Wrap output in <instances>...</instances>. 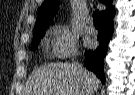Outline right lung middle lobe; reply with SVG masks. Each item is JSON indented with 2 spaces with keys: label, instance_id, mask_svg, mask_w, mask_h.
Instances as JSON below:
<instances>
[{
  "label": "right lung middle lobe",
  "instance_id": "1",
  "mask_svg": "<svg viewBox=\"0 0 135 95\" xmlns=\"http://www.w3.org/2000/svg\"><path fill=\"white\" fill-rule=\"evenodd\" d=\"M45 31L35 32L33 35L31 50H35L40 43L41 38L44 36Z\"/></svg>",
  "mask_w": 135,
  "mask_h": 95
}]
</instances>
